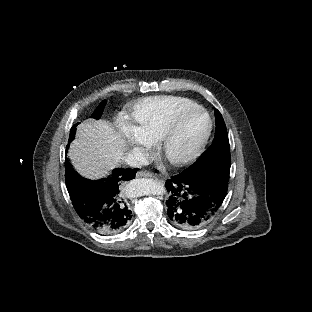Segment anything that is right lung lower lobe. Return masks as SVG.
<instances>
[{
  "mask_svg": "<svg viewBox=\"0 0 312 312\" xmlns=\"http://www.w3.org/2000/svg\"><path fill=\"white\" fill-rule=\"evenodd\" d=\"M137 171V168H117L107 178L88 180L80 177L66 158V186L82 221L103 235L126 229L133 215L125 193Z\"/></svg>",
  "mask_w": 312,
  "mask_h": 312,
  "instance_id": "obj_1",
  "label": "right lung lower lobe"
}]
</instances>
